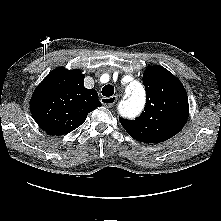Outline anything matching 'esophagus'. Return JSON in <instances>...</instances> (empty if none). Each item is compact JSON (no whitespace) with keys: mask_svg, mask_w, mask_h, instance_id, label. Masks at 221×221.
Here are the masks:
<instances>
[{"mask_svg":"<svg viewBox=\"0 0 221 221\" xmlns=\"http://www.w3.org/2000/svg\"><path fill=\"white\" fill-rule=\"evenodd\" d=\"M116 100H117L116 96L102 97L101 103L106 107H111L116 102Z\"/></svg>","mask_w":221,"mask_h":221,"instance_id":"obj_1","label":"esophagus"}]
</instances>
